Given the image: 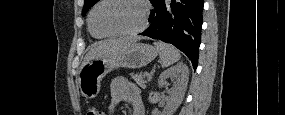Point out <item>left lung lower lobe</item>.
Listing matches in <instances>:
<instances>
[{"instance_id": "left-lung-lower-lobe-1", "label": "left lung lower lobe", "mask_w": 285, "mask_h": 115, "mask_svg": "<svg viewBox=\"0 0 285 115\" xmlns=\"http://www.w3.org/2000/svg\"><path fill=\"white\" fill-rule=\"evenodd\" d=\"M150 26L141 35L173 44L197 67L202 29V0H150Z\"/></svg>"}]
</instances>
